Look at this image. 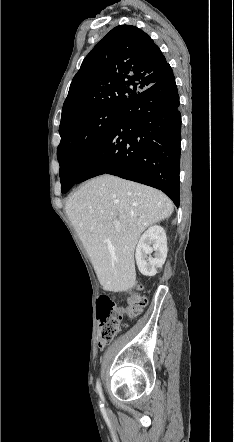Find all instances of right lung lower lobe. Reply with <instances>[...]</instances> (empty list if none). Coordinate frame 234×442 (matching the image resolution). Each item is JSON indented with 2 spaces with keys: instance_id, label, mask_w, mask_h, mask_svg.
<instances>
[{
  "instance_id": "obj_1",
  "label": "right lung lower lobe",
  "mask_w": 234,
  "mask_h": 442,
  "mask_svg": "<svg viewBox=\"0 0 234 442\" xmlns=\"http://www.w3.org/2000/svg\"><path fill=\"white\" fill-rule=\"evenodd\" d=\"M170 66L153 85L124 105L106 137L72 168V183L101 174L139 182L179 206L181 115Z\"/></svg>"
}]
</instances>
